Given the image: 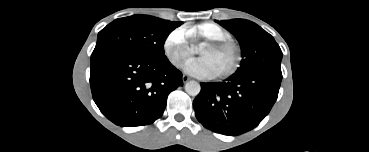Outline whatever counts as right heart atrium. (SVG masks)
I'll return each mask as SVG.
<instances>
[{"mask_svg":"<svg viewBox=\"0 0 369 152\" xmlns=\"http://www.w3.org/2000/svg\"><path fill=\"white\" fill-rule=\"evenodd\" d=\"M163 50L168 61L176 68H181L195 53L184 28H176L168 34Z\"/></svg>","mask_w":369,"mask_h":152,"instance_id":"obj_1","label":"right heart atrium"}]
</instances>
